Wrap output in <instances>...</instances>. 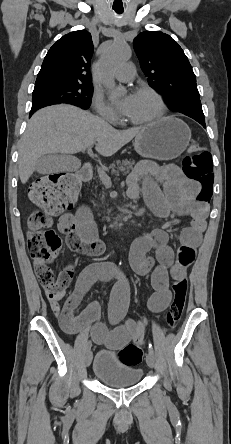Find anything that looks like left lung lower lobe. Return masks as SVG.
I'll return each mask as SVG.
<instances>
[{"instance_id":"1","label":"left lung lower lobe","mask_w":231,"mask_h":444,"mask_svg":"<svg viewBox=\"0 0 231 444\" xmlns=\"http://www.w3.org/2000/svg\"><path fill=\"white\" fill-rule=\"evenodd\" d=\"M193 119L199 122L203 127H205V119H200V118H193Z\"/></svg>"}]
</instances>
